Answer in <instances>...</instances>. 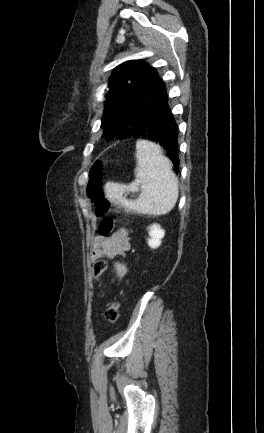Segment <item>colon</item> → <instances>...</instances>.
<instances>
[{
  "mask_svg": "<svg viewBox=\"0 0 264 433\" xmlns=\"http://www.w3.org/2000/svg\"><path fill=\"white\" fill-rule=\"evenodd\" d=\"M103 166L102 160H97L91 168L90 178L88 182V194L95 205V213L105 217L102 219L99 230L103 236H109L114 230L117 219L112 216H107L109 213H118L119 209L110 201L106 200L103 195ZM109 267V263L105 259H97L93 262L91 272L94 278H98ZM112 268L120 279L127 276L126 266L118 261L112 263ZM120 304L118 301H112L105 310V319L108 323L114 324L119 317Z\"/></svg>",
  "mask_w": 264,
  "mask_h": 433,
  "instance_id": "1",
  "label": "colon"
}]
</instances>
